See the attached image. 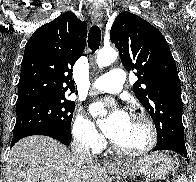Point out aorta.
<instances>
[{"label":"aorta","mask_w":196,"mask_h":182,"mask_svg":"<svg viewBox=\"0 0 196 182\" xmlns=\"http://www.w3.org/2000/svg\"><path fill=\"white\" fill-rule=\"evenodd\" d=\"M118 57L117 51L112 48H103L97 54L96 63L99 68L107 67ZM106 115V113H104Z\"/></svg>","instance_id":"762f6f07"}]
</instances>
